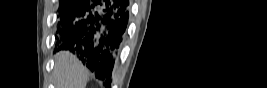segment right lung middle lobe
<instances>
[{"instance_id": "obj_1", "label": "right lung middle lobe", "mask_w": 267, "mask_h": 88, "mask_svg": "<svg viewBox=\"0 0 267 88\" xmlns=\"http://www.w3.org/2000/svg\"><path fill=\"white\" fill-rule=\"evenodd\" d=\"M70 0H60V6L59 8L62 9L64 6H66L69 3Z\"/></svg>"}]
</instances>
